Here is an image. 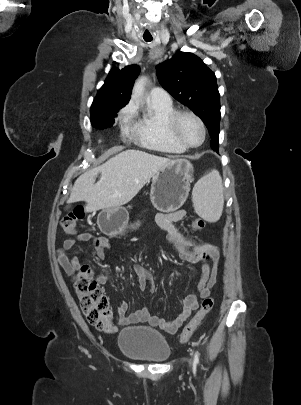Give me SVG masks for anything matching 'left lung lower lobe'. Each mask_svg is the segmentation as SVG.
I'll use <instances>...</instances> for the list:
<instances>
[{"label": "left lung lower lobe", "mask_w": 301, "mask_h": 405, "mask_svg": "<svg viewBox=\"0 0 301 405\" xmlns=\"http://www.w3.org/2000/svg\"><path fill=\"white\" fill-rule=\"evenodd\" d=\"M211 146L213 147V150H214V151L218 152L219 146H216V145H214V144H212Z\"/></svg>", "instance_id": "1"}]
</instances>
